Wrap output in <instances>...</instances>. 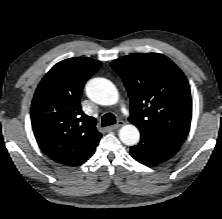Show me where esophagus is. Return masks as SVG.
<instances>
[{
    "label": "esophagus",
    "mask_w": 222,
    "mask_h": 219,
    "mask_svg": "<svg viewBox=\"0 0 222 219\" xmlns=\"http://www.w3.org/2000/svg\"><path fill=\"white\" fill-rule=\"evenodd\" d=\"M123 125H124V121H118L117 124H115L111 127V129L115 130V129L122 127Z\"/></svg>",
    "instance_id": "1"
}]
</instances>
